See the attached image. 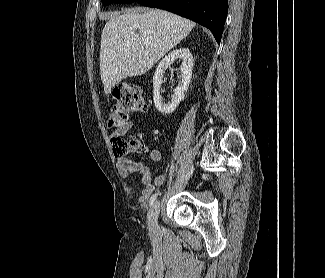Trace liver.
I'll list each match as a JSON object with an SVG mask.
<instances>
[{
  "mask_svg": "<svg viewBox=\"0 0 325 278\" xmlns=\"http://www.w3.org/2000/svg\"><path fill=\"white\" fill-rule=\"evenodd\" d=\"M195 23L173 13L135 8L113 13L101 35L100 75L104 93L128 77L149 71L183 40Z\"/></svg>",
  "mask_w": 325,
  "mask_h": 278,
  "instance_id": "liver-1",
  "label": "liver"
}]
</instances>
